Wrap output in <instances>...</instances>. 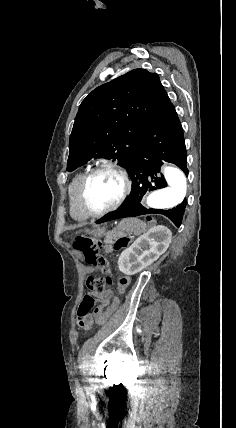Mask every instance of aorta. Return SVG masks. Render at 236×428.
<instances>
[{"label":"aorta","mask_w":236,"mask_h":428,"mask_svg":"<svg viewBox=\"0 0 236 428\" xmlns=\"http://www.w3.org/2000/svg\"><path fill=\"white\" fill-rule=\"evenodd\" d=\"M168 186L149 194L146 204L154 209H172L180 204L186 195L187 183L184 173L177 167H164Z\"/></svg>","instance_id":"762f6f07"}]
</instances>
